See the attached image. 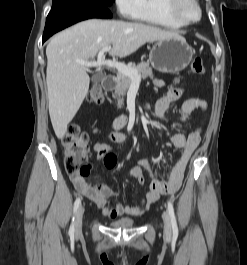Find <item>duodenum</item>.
<instances>
[{"label": "duodenum", "instance_id": "1", "mask_svg": "<svg viewBox=\"0 0 247 265\" xmlns=\"http://www.w3.org/2000/svg\"><path fill=\"white\" fill-rule=\"evenodd\" d=\"M116 83V78L113 75H106L103 79L102 86L105 90H111L114 88ZM124 125V120L122 118H117L114 121L115 128H121Z\"/></svg>", "mask_w": 247, "mask_h": 265}]
</instances>
